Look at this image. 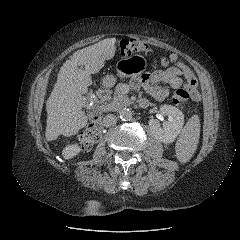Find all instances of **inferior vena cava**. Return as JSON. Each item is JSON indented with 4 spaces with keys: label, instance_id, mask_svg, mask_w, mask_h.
Returning <instances> with one entry per match:
<instances>
[{
    "label": "inferior vena cava",
    "instance_id": "obj_1",
    "mask_svg": "<svg viewBox=\"0 0 240 240\" xmlns=\"http://www.w3.org/2000/svg\"><path fill=\"white\" fill-rule=\"evenodd\" d=\"M116 123H117V117L113 114H108L103 119V125L105 127H112L116 125Z\"/></svg>",
    "mask_w": 240,
    "mask_h": 240
}]
</instances>
